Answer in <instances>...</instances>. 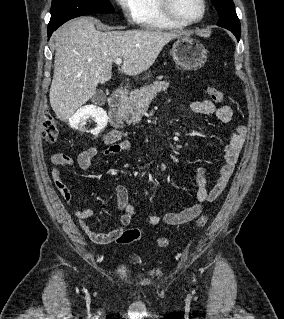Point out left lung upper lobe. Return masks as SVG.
Returning a JSON list of instances; mask_svg holds the SVG:
<instances>
[{
  "label": "left lung upper lobe",
  "mask_w": 284,
  "mask_h": 319,
  "mask_svg": "<svg viewBox=\"0 0 284 319\" xmlns=\"http://www.w3.org/2000/svg\"><path fill=\"white\" fill-rule=\"evenodd\" d=\"M218 11V26L240 32L241 25L237 17L233 0H211Z\"/></svg>",
  "instance_id": "left-lung-upper-lobe-1"
}]
</instances>
